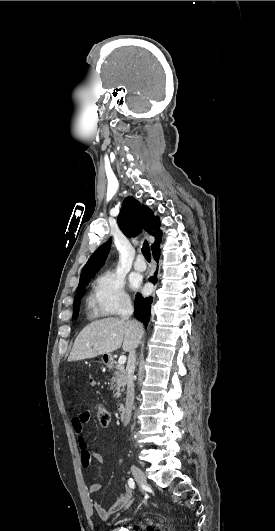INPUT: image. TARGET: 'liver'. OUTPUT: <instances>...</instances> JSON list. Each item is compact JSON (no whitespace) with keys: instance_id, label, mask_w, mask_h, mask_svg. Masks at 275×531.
Masks as SVG:
<instances>
[{"instance_id":"6515ba94","label":"liver","mask_w":275,"mask_h":531,"mask_svg":"<svg viewBox=\"0 0 275 531\" xmlns=\"http://www.w3.org/2000/svg\"><path fill=\"white\" fill-rule=\"evenodd\" d=\"M143 335V327L138 321H124L117 317L93 321L76 337L68 361L93 359L97 355L112 353L122 349L125 353L136 349Z\"/></svg>"}]
</instances>
